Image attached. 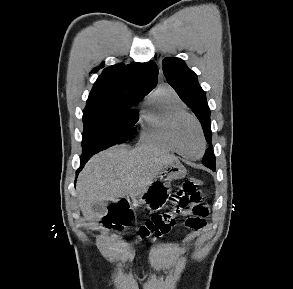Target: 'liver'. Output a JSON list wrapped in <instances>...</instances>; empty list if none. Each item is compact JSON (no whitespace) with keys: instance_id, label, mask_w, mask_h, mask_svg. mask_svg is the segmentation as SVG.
<instances>
[{"instance_id":"liver-1","label":"liver","mask_w":293,"mask_h":289,"mask_svg":"<svg viewBox=\"0 0 293 289\" xmlns=\"http://www.w3.org/2000/svg\"><path fill=\"white\" fill-rule=\"evenodd\" d=\"M175 162H179L176 156L153 145L134 149L115 146L96 154L77 180L83 216L87 220L97 216L92 209L94 204L140 196L164 166Z\"/></svg>"}]
</instances>
